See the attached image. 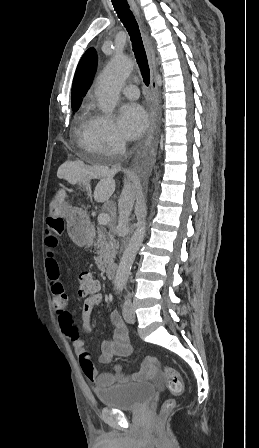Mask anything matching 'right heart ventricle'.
<instances>
[{
    "instance_id": "right-heart-ventricle-1",
    "label": "right heart ventricle",
    "mask_w": 259,
    "mask_h": 448,
    "mask_svg": "<svg viewBox=\"0 0 259 448\" xmlns=\"http://www.w3.org/2000/svg\"><path fill=\"white\" fill-rule=\"evenodd\" d=\"M99 119V114L94 110L93 105L90 101H85L76 116L75 128L79 136L80 144L89 152L90 154H85L87 156V163H98L101 159L94 152V134Z\"/></svg>"
}]
</instances>
